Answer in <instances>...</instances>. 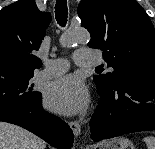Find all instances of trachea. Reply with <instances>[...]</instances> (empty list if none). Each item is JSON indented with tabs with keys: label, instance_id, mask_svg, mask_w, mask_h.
Here are the masks:
<instances>
[{
	"label": "trachea",
	"instance_id": "1",
	"mask_svg": "<svg viewBox=\"0 0 155 149\" xmlns=\"http://www.w3.org/2000/svg\"><path fill=\"white\" fill-rule=\"evenodd\" d=\"M67 15H68V9L66 0H57L55 5V16L60 26L66 25Z\"/></svg>",
	"mask_w": 155,
	"mask_h": 149
}]
</instances>
